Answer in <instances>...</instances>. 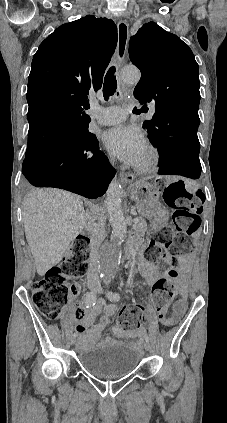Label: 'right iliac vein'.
I'll list each match as a JSON object with an SVG mask.
<instances>
[{
    "label": "right iliac vein",
    "mask_w": 227,
    "mask_h": 423,
    "mask_svg": "<svg viewBox=\"0 0 227 423\" xmlns=\"http://www.w3.org/2000/svg\"><path fill=\"white\" fill-rule=\"evenodd\" d=\"M92 291H93V292H96V289H95V288H92ZM74 343H75V337H71V339H70V344H71V345H74Z\"/></svg>",
    "instance_id": "1"
}]
</instances>
